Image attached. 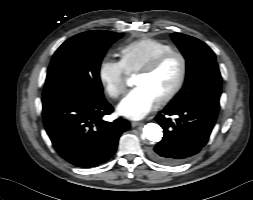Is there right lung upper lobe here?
I'll use <instances>...</instances> for the list:
<instances>
[{"instance_id":"right-lung-upper-lobe-1","label":"right lung upper lobe","mask_w":253,"mask_h":200,"mask_svg":"<svg viewBox=\"0 0 253 200\" xmlns=\"http://www.w3.org/2000/svg\"><path fill=\"white\" fill-rule=\"evenodd\" d=\"M95 32L105 33V32H108V31H105V30H95Z\"/></svg>"}]
</instances>
